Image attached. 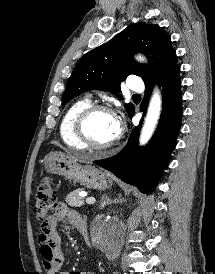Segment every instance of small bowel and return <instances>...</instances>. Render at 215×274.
<instances>
[{"mask_svg":"<svg viewBox=\"0 0 215 274\" xmlns=\"http://www.w3.org/2000/svg\"><path fill=\"white\" fill-rule=\"evenodd\" d=\"M67 221L78 231L87 227L84 219L71 210L66 204L60 203L56 213L41 224L39 234V253L46 270V274H70L61 271L64 255L61 247V237L57 226L60 222ZM76 274H95L93 272H78Z\"/></svg>","mask_w":215,"mask_h":274,"instance_id":"obj_1","label":"small bowel"}]
</instances>
